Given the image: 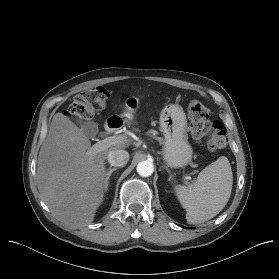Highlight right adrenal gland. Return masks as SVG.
Masks as SVG:
<instances>
[{
	"instance_id": "1",
	"label": "right adrenal gland",
	"mask_w": 279,
	"mask_h": 279,
	"mask_svg": "<svg viewBox=\"0 0 279 279\" xmlns=\"http://www.w3.org/2000/svg\"><path fill=\"white\" fill-rule=\"evenodd\" d=\"M116 170H117V167H115V168H111V167H110V168L108 169L107 176H106V189H105V190H107V187H108V185H109V179H110L112 173H113L114 171H116Z\"/></svg>"
}]
</instances>
